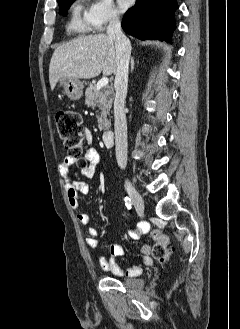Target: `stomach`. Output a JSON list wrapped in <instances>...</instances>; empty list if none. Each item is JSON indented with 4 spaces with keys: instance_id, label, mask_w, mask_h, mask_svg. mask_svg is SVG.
<instances>
[{
    "instance_id": "obj_1",
    "label": "stomach",
    "mask_w": 240,
    "mask_h": 329,
    "mask_svg": "<svg viewBox=\"0 0 240 329\" xmlns=\"http://www.w3.org/2000/svg\"><path fill=\"white\" fill-rule=\"evenodd\" d=\"M59 86L64 88V93L71 100H78L83 95L84 83L78 78L61 77L59 79Z\"/></svg>"
}]
</instances>
